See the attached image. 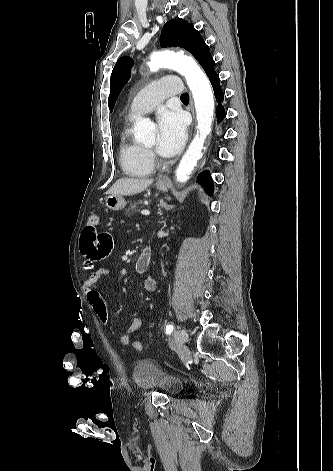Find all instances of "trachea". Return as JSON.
<instances>
[{
  "label": "trachea",
  "mask_w": 333,
  "mask_h": 471,
  "mask_svg": "<svg viewBox=\"0 0 333 471\" xmlns=\"http://www.w3.org/2000/svg\"><path fill=\"white\" fill-rule=\"evenodd\" d=\"M180 98L181 100H189V95L187 93H183Z\"/></svg>",
  "instance_id": "trachea-1"
}]
</instances>
